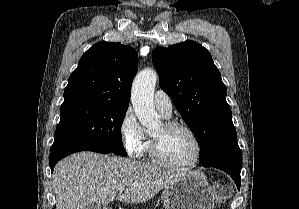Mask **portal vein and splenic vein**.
I'll use <instances>...</instances> for the list:
<instances>
[{"label": "portal vein and splenic vein", "instance_id": "1", "mask_svg": "<svg viewBox=\"0 0 299 209\" xmlns=\"http://www.w3.org/2000/svg\"><path fill=\"white\" fill-rule=\"evenodd\" d=\"M125 189V187L123 185L118 186V191L120 193H122V191Z\"/></svg>", "mask_w": 299, "mask_h": 209}]
</instances>
